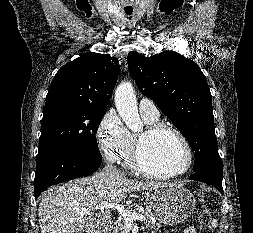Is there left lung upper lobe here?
<instances>
[{
	"label": "left lung upper lobe",
	"mask_w": 253,
	"mask_h": 233,
	"mask_svg": "<svg viewBox=\"0 0 253 233\" xmlns=\"http://www.w3.org/2000/svg\"><path fill=\"white\" fill-rule=\"evenodd\" d=\"M127 61L139 90L157 103L189 141L195 152L194 171L210 168L223 172L217 150L212 96L200 67L173 51L151 57L132 51Z\"/></svg>",
	"instance_id": "1"
}]
</instances>
